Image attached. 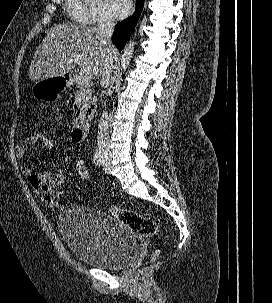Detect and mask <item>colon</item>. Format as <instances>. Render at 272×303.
I'll use <instances>...</instances> for the list:
<instances>
[{
  "label": "colon",
  "instance_id": "5ec220e1",
  "mask_svg": "<svg viewBox=\"0 0 272 303\" xmlns=\"http://www.w3.org/2000/svg\"><path fill=\"white\" fill-rule=\"evenodd\" d=\"M36 146L43 151H51L55 147L54 138L48 133L36 134ZM76 171L79 177L83 180H87L89 176L88 167L83 159H79L76 162ZM43 203L49 208H56L59 204V197L57 193L50 192L41 196ZM107 211L117 217L123 224L134 229L142 236L150 237L157 232V223L154 219L129 209H115L108 208ZM158 251H155L153 256H156Z\"/></svg>",
  "mask_w": 272,
  "mask_h": 303
}]
</instances>
